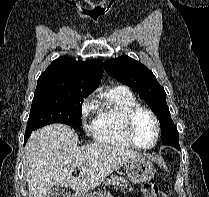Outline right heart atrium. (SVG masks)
Masks as SVG:
<instances>
[{
    "instance_id": "d8ad5b80",
    "label": "right heart atrium",
    "mask_w": 209,
    "mask_h": 197,
    "mask_svg": "<svg viewBox=\"0 0 209 197\" xmlns=\"http://www.w3.org/2000/svg\"><path fill=\"white\" fill-rule=\"evenodd\" d=\"M97 109V101L94 97H88L84 100L81 107V115L86 118L89 114Z\"/></svg>"
}]
</instances>
